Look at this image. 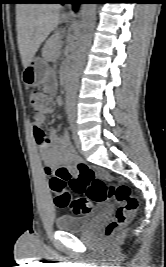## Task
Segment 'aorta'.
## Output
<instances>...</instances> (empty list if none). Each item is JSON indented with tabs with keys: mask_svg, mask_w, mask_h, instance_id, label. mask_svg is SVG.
<instances>
[{
	"mask_svg": "<svg viewBox=\"0 0 166 267\" xmlns=\"http://www.w3.org/2000/svg\"><path fill=\"white\" fill-rule=\"evenodd\" d=\"M96 3H84L81 11L80 25L78 31V48L75 51L69 79L67 82L66 105L68 109L75 106L76 91L79 77L84 65L85 52L91 41L95 26Z\"/></svg>",
	"mask_w": 166,
	"mask_h": 267,
	"instance_id": "1",
	"label": "aorta"
}]
</instances>
